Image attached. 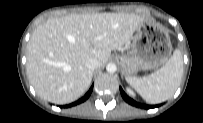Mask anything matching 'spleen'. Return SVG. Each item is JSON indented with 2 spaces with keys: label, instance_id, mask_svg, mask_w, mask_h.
<instances>
[{
  "label": "spleen",
  "instance_id": "1",
  "mask_svg": "<svg viewBox=\"0 0 203 123\" xmlns=\"http://www.w3.org/2000/svg\"><path fill=\"white\" fill-rule=\"evenodd\" d=\"M183 76L181 52L176 49L159 70L147 77H127V82L148 103L157 104L171 98Z\"/></svg>",
  "mask_w": 203,
  "mask_h": 123
}]
</instances>
